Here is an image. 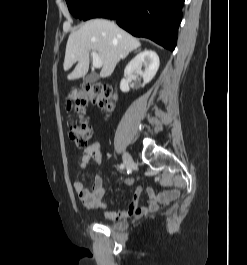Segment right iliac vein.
<instances>
[{"label":"right iliac vein","instance_id":"1","mask_svg":"<svg viewBox=\"0 0 247 265\" xmlns=\"http://www.w3.org/2000/svg\"><path fill=\"white\" fill-rule=\"evenodd\" d=\"M123 163L127 169H130L133 165V159L131 155L127 152L123 154Z\"/></svg>","mask_w":247,"mask_h":265}]
</instances>
